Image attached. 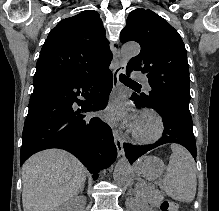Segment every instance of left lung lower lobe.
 <instances>
[{"label": "left lung lower lobe", "mask_w": 219, "mask_h": 211, "mask_svg": "<svg viewBox=\"0 0 219 211\" xmlns=\"http://www.w3.org/2000/svg\"><path fill=\"white\" fill-rule=\"evenodd\" d=\"M129 75V73H127ZM137 107H148L156 110L163 119L164 130L162 137L153 144L136 146L124 144L125 154L132 163L146 152L166 143H177L186 147L196 159L197 151L192 128L191 114L174 107L161 108L142 98L141 94H133Z\"/></svg>", "instance_id": "obj_1"}]
</instances>
